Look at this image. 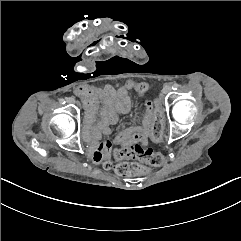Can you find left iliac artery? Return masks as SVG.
<instances>
[{"instance_id":"obj_1","label":"left iliac artery","mask_w":241,"mask_h":241,"mask_svg":"<svg viewBox=\"0 0 241 241\" xmlns=\"http://www.w3.org/2000/svg\"><path fill=\"white\" fill-rule=\"evenodd\" d=\"M178 87H179V84H177V83H174V84L172 85V89H173V90H177Z\"/></svg>"}]
</instances>
